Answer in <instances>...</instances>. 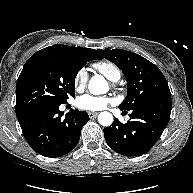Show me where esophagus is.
Segmentation results:
<instances>
[{
    "label": "esophagus",
    "mask_w": 193,
    "mask_h": 193,
    "mask_svg": "<svg viewBox=\"0 0 193 193\" xmlns=\"http://www.w3.org/2000/svg\"><path fill=\"white\" fill-rule=\"evenodd\" d=\"M88 115H89V118H95V117H97V115H98V112H89L88 113Z\"/></svg>",
    "instance_id": "esophagus-1"
}]
</instances>
